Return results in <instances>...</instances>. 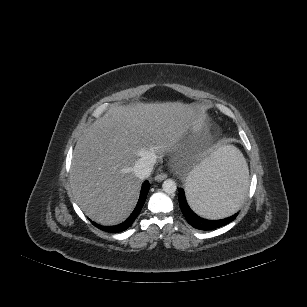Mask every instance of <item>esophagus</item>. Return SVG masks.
<instances>
[{
	"instance_id": "1",
	"label": "esophagus",
	"mask_w": 307,
	"mask_h": 307,
	"mask_svg": "<svg viewBox=\"0 0 307 307\" xmlns=\"http://www.w3.org/2000/svg\"><path fill=\"white\" fill-rule=\"evenodd\" d=\"M166 178H167V174L166 173H160V174H157L154 177L155 181H157V182H161V181H163Z\"/></svg>"
}]
</instances>
